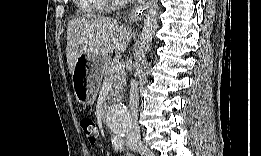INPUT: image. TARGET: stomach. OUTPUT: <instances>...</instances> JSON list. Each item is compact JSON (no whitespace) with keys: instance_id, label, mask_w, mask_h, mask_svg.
Wrapping results in <instances>:
<instances>
[{"instance_id":"stomach-1","label":"stomach","mask_w":261,"mask_h":156,"mask_svg":"<svg viewBox=\"0 0 261 156\" xmlns=\"http://www.w3.org/2000/svg\"><path fill=\"white\" fill-rule=\"evenodd\" d=\"M80 57L72 74V82L76 99L81 104L88 106L92 105L96 99L101 84V71L109 58L102 55H85L82 57L85 62L82 65V63L80 64L82 60ZM80 68H82V71H80Z\"/></svg>"}]
</instances>
